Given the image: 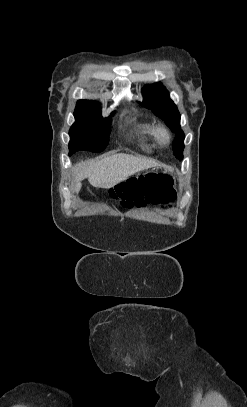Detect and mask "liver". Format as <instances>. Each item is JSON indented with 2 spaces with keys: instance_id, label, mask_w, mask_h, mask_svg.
I'll return each mask as SVG.
<instances>
[{
  "instance_id": "liver-1",
  "label": "liver",
  "mask_w": 247,
  "mask_h": 407,
  "mask_svg": "<svg viewBox=\"0 0 247 407\" xmlns=\"http://www.w3.org/2000/svg\"><path fill=\"white\" fill-rule=\"evenodd\" d=\"M159 164L151 159L135 157L128 154H116L92 161L86 166L78 165L74 169L76 178L75 191L81 189V180L88 177L94 187L109 188L127 179L129 176Z\"/></svg>"
}]
</instances>
